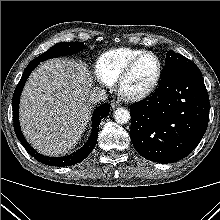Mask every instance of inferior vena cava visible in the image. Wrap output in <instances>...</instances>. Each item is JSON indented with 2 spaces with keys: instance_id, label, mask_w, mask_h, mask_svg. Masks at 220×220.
<instances>
[{
  "instance_id": "602c4592",
  "label": "inferior vena cava",
  "mask_w": 220,
  "mask_h": 220,
  "mask_svg": "<svg viewBox=\"0 0 220 220\" xmlns=\"http://www.w3.org/2000/svg\"><path fill=\"white\" fill-rule=\"evenodd\" d=\"M107 98V94H106V90L102 89L100 87H94L91 91H90V95H89V101L91 103H98L101 101L106 100Z\"/></svg>"
}]
</instances>
